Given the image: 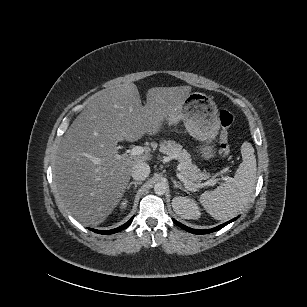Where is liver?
Segmentation results:
<instances>
[{
    "instance_id": "1",
    "label": "liver",
    "mask_w": 307,
    "mask_h": 307,
    "mask_svg": "<svg viewBox=\"0 0 307 307\" xmlns=\"http://www.w3.org/2000/svg\"><path fill=\"white\" fill-rule=\"evenodd\" d=\"M190 86L153 87L143 105L138 87L123 83L98 91L65 133L53 164L55 197L84 225L96 226L115 208L135 163L117 142L154 134L167 114L179 111Z\"/></svg>"
}]
</instances>
